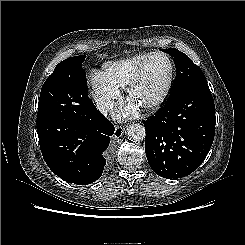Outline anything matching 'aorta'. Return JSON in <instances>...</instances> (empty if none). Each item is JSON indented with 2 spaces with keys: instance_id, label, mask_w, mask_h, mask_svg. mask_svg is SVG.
<instances>
[{
  "instance_id": "1",
  "label": "aorta",
  "mask_w": 245,
  "mask_h": 245,
  "mask_svg": "<svg viewBox=\"0 0 245 245\" xmlns=\"http://www.w3.org/2000/svg\"><path fill=\"white\" fill-rule=\"evenodd\" d=\"M127 136L130 141L137 142L145 139V128L139 123L130 124L127 128Z\"/></svg>"
}]
</instances>
